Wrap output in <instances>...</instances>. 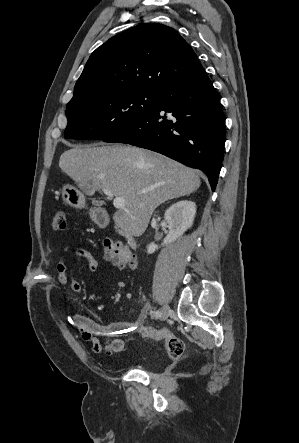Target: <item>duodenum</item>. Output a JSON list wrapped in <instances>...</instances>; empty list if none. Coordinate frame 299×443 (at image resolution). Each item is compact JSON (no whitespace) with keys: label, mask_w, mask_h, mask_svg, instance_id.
<instances>
[{"label":"duodenum","mask_w":299,"mask_h":443,"mask_svg":"<svg viewBox=\"0 0 299 443\" xmlns=\"http://www.w3.org/2000/svg\"><path fill=\"white\" fill-rule=\"evenodd\" d=\"M116 229L118 230V232L120 234H122L126 240L128 241V243L130 244V246L135 247L136 246V241L133 235H131L129 232H127L124 228H122L120 225H116Z\"/></svg>","instance_id":"duodenum-1"}]
</instances>
